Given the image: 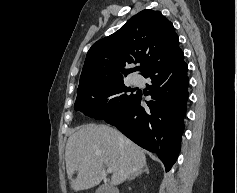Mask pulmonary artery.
Segmentation results:
<instances>
[{"mask_svg": "<svg viewBox=\"0 0 237 193\" xmlns=\"http://www.w3.org/2000/svg\"><path fill=\"white\" fill-rule=\"evenodd\" d=\"M134 83H135L136 85H139V84L141 83L140 77H135V78H134Z\"/></svg>", "mask_w": 237, "mask_h": 193, "instance_id": "pulmonary-artery-1", "label": "pulmonary artery"}]
</instances>
